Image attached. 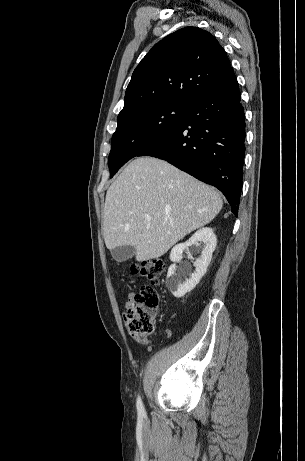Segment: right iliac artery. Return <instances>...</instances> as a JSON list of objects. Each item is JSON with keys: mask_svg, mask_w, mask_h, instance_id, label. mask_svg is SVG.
<instances>
[{"mask_svg": "<svg viewBox=\"0 0 305 461\" xmlns=\"http://www.w3.org/2000/svg\"><path fill=\"white\" fill-rule=\"evenodd\" d=\"M137 411L140 415H143L145 413V410H144V407H143V404H142V400L140 398V396H138L137 398Z\"/></svg>", "mask_w": 305, "mask_h": 461, "instance_id": "1", "label": "right iliac artery"}]
</instances>
